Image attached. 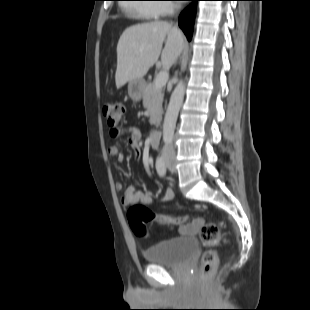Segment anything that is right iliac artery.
<instances>
[{"label":"right iliac artery","mask_w":310,"mask_h":310,"mask_svg":"<svg viewBox=\"0 0 310 310\" xmlns=\"http://www.w3.org/2000/svg\"><path fill=\"white\" fill-rule=\"evenodd\" d=\"M156 170L160 176H164L166 174V165L164 161V157L160 156L156 161Z\"/></svg>","instance_id":"82829eb1"}]
</instances>
